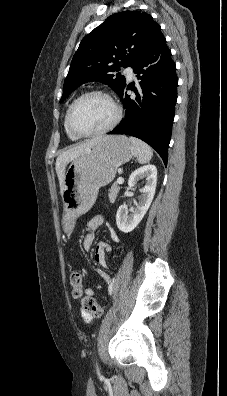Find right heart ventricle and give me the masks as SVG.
Wrapping results in <instances>:
<instances>
[{
    "label": "right heart ventricle",
    "mask_w": 227,
    "mask_h": 396,
    "mask_svg": "<svg viewBox=\"0 0 227 396\" xmlns=\"http://www.w3.org/2000/svg\"><path fill=\"white\" fill-rule=\"evenodd\" d=\"M66 114H67V112H66ZM66 114H65L64 123H63L65 132H66V134H67V136H68V138H69L70 140L76 141V140H78L79 138L76 137V136H74V135L69 131V129H68V127H67V124H66Z\"/></svg>",
    "instance_id": "obj_1"
}]
</instances>
